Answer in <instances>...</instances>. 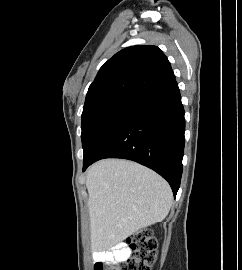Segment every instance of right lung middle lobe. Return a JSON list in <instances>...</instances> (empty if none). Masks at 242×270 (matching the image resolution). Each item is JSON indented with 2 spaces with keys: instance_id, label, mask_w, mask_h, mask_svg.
I'll return each mask as SVG.
<instances>
[{
  "instance_id": "obj_1",
  "label": "right lung middle lobe",
  "mask_w": 242,
  "mask_h": 270,
  "mask_svg": "<svg viewBox=\"0 0 242 270\" xmlns=\"http://www.w3.org/2000/svg\"><path fill=\"white\" fill-rule=\"evenodd\" d=\"M136 103L114 101L82 113L83 163L92 159L100 147L117 130Z\"/></svg>"
}]
</instances>
